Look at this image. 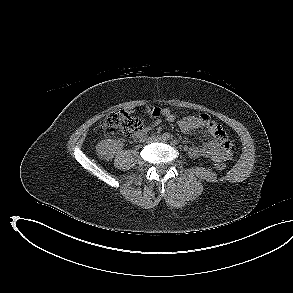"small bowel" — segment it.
<instances>
[{
	"mask_svg": "<svg viewBox=\"0 0 293 293\" xmlns=\"http://www.w3.org/2000/svg\"><path fill=\"white\" fill-rule=\"evenodd\" d=\"M136 111L146 113L156 119L151 126L143 127L134 134L133 139L136 142H142L146 138L149 131L161 122L160 117L168 122H174L177 119L176 115L167 108L141 106L136 108ZM177 123L183 133L204 129L212 137L211 140L199 146L189 148L188 154L191 157H207L215 162L229 160L232 157L230 141L225 131L207 114L186 116L179 119Z\"/></svg>",
	"mask_w": 293,
	"mask_h": 293,
	"instance_id": "1",
	"label": "small bowel"
}]
</instances>
